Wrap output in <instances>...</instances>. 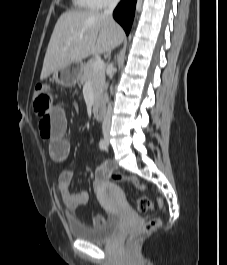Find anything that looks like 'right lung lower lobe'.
Listing matches in <instances>:
<instances>
[{
    "mask_svg": "<svg viewBox=\"0 0 227 265\" xmlns=\"http://www.w3.org/2000/svg\"><path fill=\"white\" fill-rule=\"evenodd\" d=\"M136 0H123L114 10L113 16L128 35L134 18Z\"/></svg>",
    "mask_w": 227,
    "mask_h": 265,
    "instance_id": "obj_1",
    "label": "right lung lower lobe"
}]
</instances>
